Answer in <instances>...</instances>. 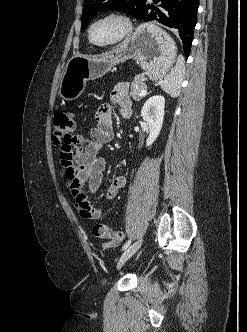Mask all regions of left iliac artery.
<instances>
[{"label":"left iliac artery","instance_id":"obj_1","mask_svg":"<svg viewBox=\"0 0 247 332\" xmlns=\"http://www.w3.org/2000/svg\"><path fill=\"white\" fill-rule=\"evenodd\" d=\"M131 242H132L131 239L125 242L124 245L122 246V250H125L131 244Z\"/></svg>","mask_w":247,"mask_h":332}]
</instances>
